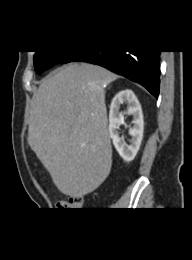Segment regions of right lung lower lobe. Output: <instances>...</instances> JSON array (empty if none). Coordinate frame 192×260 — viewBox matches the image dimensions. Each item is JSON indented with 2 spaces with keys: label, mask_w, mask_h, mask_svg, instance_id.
<instances>
[{
  "label": "right lung lower lobe",
  "mask_w": 192,
  "mask_h": 260,
  "mask_svg": "<svg viewBox=\"0 0 192 260\" xmlns=\"http://www.w3.org/2000/svg\"><path fill=\"white\" fill-rule=\"evenodd\" d=\"M160 51H74L61 63L88 62L103 66L119 75L143 85L156 98L160 84Z\"/></svg>",
  "instance_id": "right-lung-lower-lobe-1"
}]
</instances>
